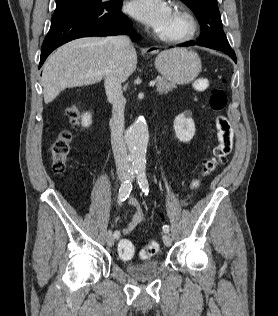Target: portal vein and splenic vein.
<instances>
[{"mask_svg": "<svg viewBox=\"0 0 278 316\" xmlns=\"http://www.w3.org/2000/svg\"><path fill=\"white\" fill-rule=\"evenodd\" d=\"M155 85V81H151L150 83H149V86L150 87H153Z\"/></svg>", "mask_w": 278, "mask_h": 316, "instance_id": "18ae733b", "label": "portal vein and splenic vein"}]
</instances>
